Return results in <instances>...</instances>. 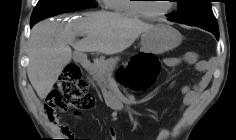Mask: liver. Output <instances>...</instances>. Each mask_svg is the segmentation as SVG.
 Returning <instances> with one entry per match:
<instances>
[{
    "label": "liver",
    "instance_id": "6515ba94",
    "mask_svg": "<svg viewBox=\"0 0 236 140\" xmlns=\"http://www.w3.org/2000/svg\"><path fill=\"white\" fill-rule=\"evenodd\" d=\"M154 27L137 18L118 13H86L74 24L42 21L31 30L27 68L28 78L40 99H45L63 69L77 53L99 52L113 55L129 48L140 34ZM77 35L84 36L75 41Z\"/></svg>",
    "mask_w": 236,
    "mask_h": 140
}]
</instances>
